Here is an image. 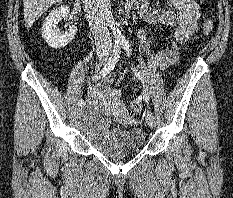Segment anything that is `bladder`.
Returning a JSON list of instances; mask_svg holds the SVG:
<instances>
[{
  "mask_svg": "<svg viewBox=\"0 0 233 198\" xmlns=\"http://www.w3.org/2000/svg\"><path fill=\"white\" fill-rule=\"evenodd\" d=\"M78 126L91 146L107 157L133 155L145 145L146 135L141 127L112 128L106 109L99 103L84 106Z\"/></svg>",
  "mask_w": 233,
  "mask_h": 198,
  "instance_id": "31cf9c89",
  "label": "bladder"
}]
</instances>
